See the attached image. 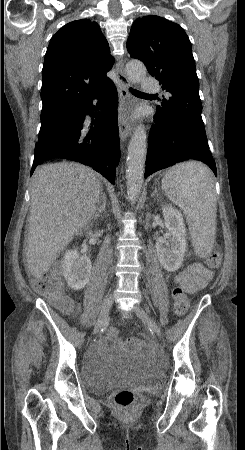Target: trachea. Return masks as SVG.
Masks as SVG:
<instances>
[{"label": "trachea", "instance_id": "3493384b", "mask_svg": "<svg viewBox=\"0 0 245 450\" xmlns=\"http://www.w3.org/2000/svg\"><path fill=\"white\" fill-rule=\"evenodd\" d=\"M130 91H131V93L134 94V95H149V94L143 93V92L138 91V90L133 89V88H130Z\"/></svg>", "mask_w": 245, "mask_h": 450}]
</instances>
